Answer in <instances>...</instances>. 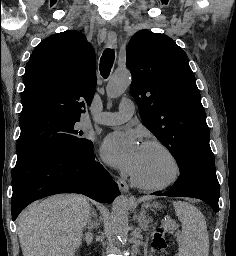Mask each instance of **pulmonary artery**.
I'll return each mask as SVG.
<instances>
[{"label": "pulmonary artery", "mask_w": 236, "mask_h": 256, "mask_svg": "<svg viewBox=\"0 0 236 256\" xmlns=\"http://www.w3.org/2000/svg\"><path fill=\"white\" fill-rule=\"evenodd\" d=\"M132 109L133 104H131V101H120L118 111L104 113L102 117L95 119V121L103 125L122 124L133 116L134 110Z\"/></svg>", "instance_id": "pulmonary-artery-1"}]
</instances>
